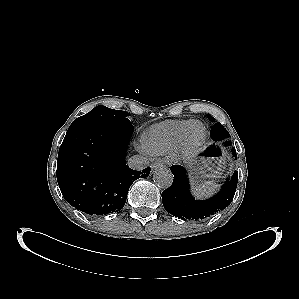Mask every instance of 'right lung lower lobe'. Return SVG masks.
<instances>
[{
	"label": "right lung lower lobe",
	"mask_w": 299,
	"mask_h": 299,
	"mask_svg": "<svg viewBox=\"0 0 299 299\" xmlns=\"http://www.w3.org/2000/svg\"><path fill=\"white\" fill-rule=\"evenodd\" d=\"M134 127L99 126L68 130L59 149L57 181L65 200L89 215L120 211L131 184L148 177L125 163Z\"/></svg>",
	"instance_id": "obj_1"
}]
</instances>
